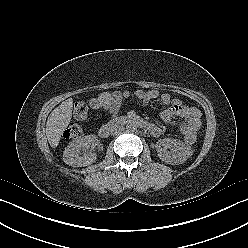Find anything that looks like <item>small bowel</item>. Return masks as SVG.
Here are the masks:
<instances>
[{
	"label": "small bowel",
	"mask_w": 248,
	"mask_h": 248,
	"mask_svg": "<svg viewBox=\"0 0 248 248\" xmlns=\"http://www.w3.org/2000/svg\"><path fill=\"white\" fill-rule=\"evenodd\" d=\"M102 95L106 97V102L102 108L110 115L118 113L124 99L133 98L143 104L160 99L162 105L165 106V109L160 114L162 121L169 123L174 117L183 118L184 121L181 123L179 130L184 138L196 136L201 128V113L197 108L185 105L179 99L172 98L167 93L162 94L156 89L137 90L133 94L127 90L115 91L112 94L103 93ZM148 130L155 137L160 136L163 132L160 126L152 123L149 124Z\"/></svg>",
	"instance_id": "1"
}]
</instances>
